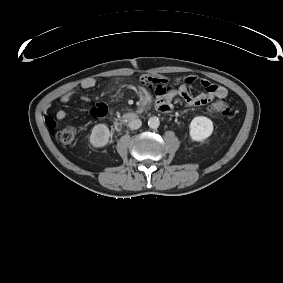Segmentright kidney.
<instances>
[{
    "mask_svg": "<svg viewBox=\"0 0 283 283\" xmlns=\"http://www.w3.org/2000/svg\"><path fill=\"white\" fill-rule=\"evenodd\" d=\"M111 134L106 124H97L92 128L89 140L94 147H104L108 144Z\"/></svg>",
    "mask_w": 283,
    "mask_h": 283,
    "instance_id": "obj_1",
    "label": "right kidney"
}]
</instances>
